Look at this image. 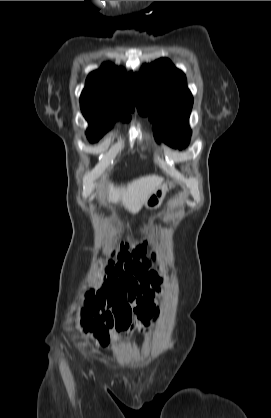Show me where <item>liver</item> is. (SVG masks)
Instances as JSON below:
<instances>
[{
	"instance_id": "obj_1",
	"label": "liver",
	"mask_w": 271,
	"mask_h": 418,
	"mask_svg": "<svg viewBox=\"0 0 271 418\" xmlns=\"http://www.w3.org/2000/svg\"><path fill=\"white\" fill-rule=\"evenodd\" d=\"M162 183L161 177L147 175L133 180L127 186L117 187L110 184L108 201L114 204L121 202L129 212L135 214Z\"/></svg>"
}]
</instances>
